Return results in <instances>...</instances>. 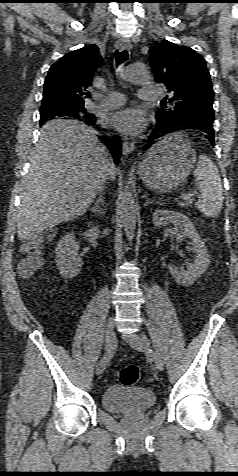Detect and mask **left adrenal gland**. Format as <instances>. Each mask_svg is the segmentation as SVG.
<instances>
[{
	"label": "left adrenal gland",
	"instance_id": "a2214340",
	"mask_svg": "<svg viewBox=\"0 0 238 476\" xmlns=\"http://www.w3.org/2000/svg\"><path fill=\"white\" fill-rule=\"evenodd\" d=\"M144 198H145V203H144V206H145V207H146L148 204L155 202V200H150V199L148 198V195H146V194L144 195Z\"/></svg>",
	"mask_w": 238,
	"mask_h": 476
}]
</instances>
